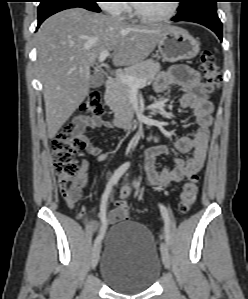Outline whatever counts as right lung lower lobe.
Instances as JSON below:
<instances>
[{"label":"right lung lower lobe","mask_w":248,"mask_h":299,"mask_svg":"<svg viewBox=\"0 0 248 299\" xmlns=\"http://www.w3.org/2000/svg\"><path fill=\"white\" fill-rule=\"evenodd\" d=\"M76 6H62V7H58V8H55L45 14H43L42 16H39L38 17V27L40 26V24L46 19L48 18L49 16L59 12V11H62V10H65V9H69V8H74Z\"/></svg>","instance_id":"right-lung-lower-lobe-1"}]
</instances>
